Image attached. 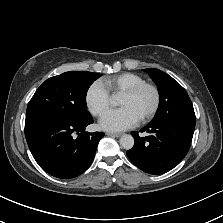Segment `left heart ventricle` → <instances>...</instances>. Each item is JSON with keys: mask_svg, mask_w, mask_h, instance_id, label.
<instances>
[{"mask_svg": "<svg viewBox=\"0 0 223 223\" xmlns=\"http://www.w3.org/2000/svg\"><path fill=\"white\" fill-rule=\"evenodd\" d=\"M153 104V94L149 89L142 90L134 97L120 96L119 105L129 107L132 111L141 118L146 114Z\"/></svg>", "mask_w": 223, "mask_h": 223, "instance_id": "1", "label": "left heart ventricle"}]
</instances>
